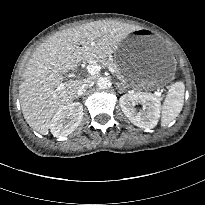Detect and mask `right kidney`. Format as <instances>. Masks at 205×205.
<instances>
[{"instance_id": "1", "label": "right kidney", "mask_w": 205, "mask_h": 205, "mask_svg": "<svg viewBox=\"0 0 205 205\" xmlns=\"http://www.w3.org/2000/svg\"><path fill=\"white\" fill-rule=\"evenodd\" d=\"M83 118V105L79 102L66 104L53 116L50 130L54 137L63 138L74 132Z\"/></svg>"}]
</instances>
